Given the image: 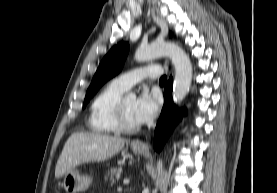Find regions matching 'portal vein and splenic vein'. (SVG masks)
I'll return each instance as SVG.
<instances>
[{
    "mask_svg": "<svg viewBox=\"0 0 277 193\" xmlns=\"http://www.w3.org/2000/svg\"><path fill=\"white\" fill-rule=\"evenodd\" d=\"M130 183V179L129 178H125L124 180H123V184H129Z\"/></svg>",
    "mask_w": 277,
    "mask_h": 193,
    "instance_id": "obj_1",
    "label": "portal vein and splenic vein"
}]
</instances>
